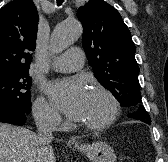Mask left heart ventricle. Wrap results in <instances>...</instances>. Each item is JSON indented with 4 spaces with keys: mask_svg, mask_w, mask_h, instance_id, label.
<instances>
[{
    "mask_svg": "<svg viewBox=\"0 0 168 162\" xmlns=\"http://www.w3.org/2000/svg\"><path fill=\"white\" fill-rule=\"evenodd\" d=\"M109 112L108 100L96 93H90L87 105L83 114L81 122L94 123L101 121Z\"/></svg>",
    "mask_w": 168,
    "mask_h": 162,
    "instance_id": "1",
    "label": "left heart ventricle"
}]
</instances>
